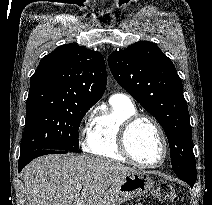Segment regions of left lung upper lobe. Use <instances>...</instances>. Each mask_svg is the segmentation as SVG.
<instances>
[{"mask_svg":"<svg viewBox=\"0 0 212 205\" xmlns=\"http://www.w3.org/2000/svg\"><path fill=\"white\" fill-rule=\"evenodd\" d=\"M108 64L119 85L163 127L175 174L196 176L188 107L172 61L156 44L140 41L112 52Z\"/></svg>","mask_w":212,"mask_h":205,"instance_id":"left-lung-upper-lobe-1","label":"left lung upper lobe"}]
</instances>
